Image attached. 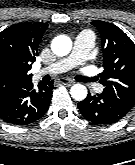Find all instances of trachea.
I'll list each match as a JSON object with an SVG mask.
<instances>
[{"label":"trachea","instance_id":"1","mask_svg":"<svg viewBox=\"0 0 135 165\" xmlns=\"http://www.w3.org/2000/svg\"><path fill=\"white\" fill-rule=\"evenodd\" d=\"M78 80L82 81V82H86V81H89L90 79H87L85 77H82V76H78L77 77Z\"/></svg>","mask_w":135,"mask_h":165}]
</instances>
